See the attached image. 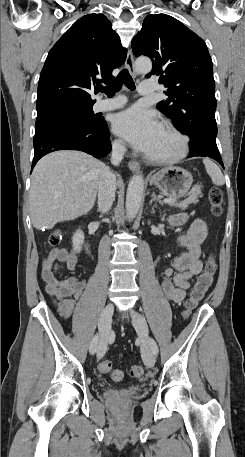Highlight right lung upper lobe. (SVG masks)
<instances>
[{
    "label": "right lung upper lobe",
    "mask_w": 245,
    "mask_h": 457,
    "mask_svg": "<svg viewBox=\"0 0 245 457\" xmlns=\"http://www.w3.org/2000/svg\"><path fill=\"white\" fill-rule=\"evenodd\" d=\"M127 50L103 14H88L75 22L50 50L40 74L37 112L75 100H90L102 82L126 59Z\"/></svg>",
    "instance_id": "1"
}]
</instances>
